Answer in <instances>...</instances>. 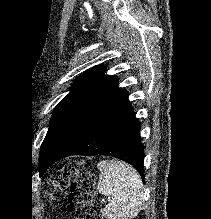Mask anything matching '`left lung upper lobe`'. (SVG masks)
<instances>
[{"label": "left lung upper lobe", "mask_w": 211, "mask_h": 219, "mask_svg": "<svg viewBox=\"0 0 211 219\" xmlns=\"http://www.w3.org/2000/svg\"><path fill=\"white\" fill-rule=\"evenodd\" d=\"M103 70L105 67L95 66L81 74L70 93L55 107L41 146L42 161L51 157L74 124L117 83L116 76L103 75Z\"/></svg>", "instance_id": "1"}]
</instances>
